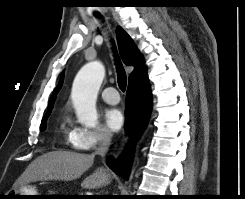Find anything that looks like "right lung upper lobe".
<instances>
[{"label": "right lung upper lobe", "mask_w": 245, "mask_h": 199, "mask_svg": "<svg viewBox=\"0 0 245 199\" xmlns=\"http://www.w3.org/2000/svg\"><path fill=\"white\" fill-rule=\"evenodd\" d=\"M116 34H117L118 47H119V51H120L123 62L128 66L135 67L134 71L129 76L128 85H137V84L148 82V79L146 76V69L143 63V58L140 55L134 42L132 41L130 36L120 26L117 27ZM63 79H64V75L62 73L60 76L59 83L57 87L54 89L52 97L49 101L48 110L45 116L50 115L52 111L57 92L60 90L63 84Z\"/></svg>", "instance_id": "obj_1"}]
</instances>
